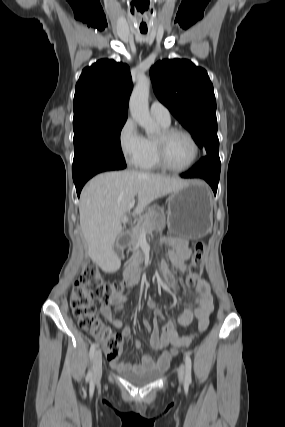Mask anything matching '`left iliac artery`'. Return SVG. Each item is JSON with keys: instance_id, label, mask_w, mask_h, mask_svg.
Returning a JSON list of instances; mask_svg holds the SVG:
<instances>
[{"instance_id": "44dca946", "label": "left iliac artery", "mask_w": 285, "mask_h": 427, "mask_svg": "<svg viewBox=\"0 0 285 427\" xmlns=\"http://www.w3.org/2000/svg\"><path fill=\"white\" fill-rule=\"evenodd\" d=\"M185 366H186L185 382L189 384L192 382V378H191L192 362L188 354H185Z\"/></svg>"}]
</instances>
